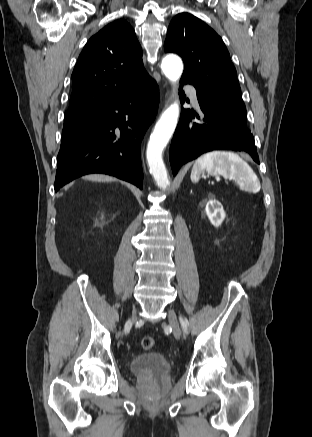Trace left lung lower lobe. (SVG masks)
I'll use <instances>...</instances> for the list:
<instances>
[{"instance_id":"left-lung-lower-lobe-1","label":"left lung lower lobe","mask_w":312,"mask_h":437,"mask_svg":"<svg viewBox=\"0 0 312 437\" xmlns=\"http://www.w3.org/2000/svg\"><path fill=\"white\" fill-rule=\"evenodd\" d=\"M183 84H186L181 80ZM181 102L185 98L180 93ZM201 115L182 109L181 117L170 147L172 172L203 153L218 149H231L249 153L259 164L254 137L244 122L219 102L197 95ZM197 118L199 121H194Z\"/></svg>"}]
</instances>
